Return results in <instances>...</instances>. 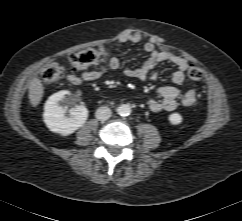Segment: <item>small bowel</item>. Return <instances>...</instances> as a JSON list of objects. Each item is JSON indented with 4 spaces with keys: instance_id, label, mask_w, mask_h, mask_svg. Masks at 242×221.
<instances>
[{
    "instance_id": "small-bowel-1",
    "label": "small bowel",
    "mask_w": 242,
    "mask_h": 221,
    "mask_svg": "<svg viewBox=\"0 0 242 221\" xmlns=\"http://www.w3.org/2000/svg\"><path fill=\"white\" fill-rule=\"evenodd\" d=\"M146 38V35L139 31H124L117 39L118 43L140 42ZM143 49L148 53V57L137 67L123 69L124 76L128 78L147 80L156 79V74H152V69L161 62H168L176 67L172 76L175 86H163L157 90L156 97L150 99L149 108L154 113L161 111H173L179 105L184 107L192 106L196 101L194 90L181 92L177 87L184 82L185 72L188 68V61L181 56L169 51H158L156 44L148 40L145 42ZM122 58L111 57L106 65H98L93 69L83 70L79 73H68L66 79L74 85L84 82L98 80L109 70H117L121 67Z\"/></svg>"
}]
</instances>
